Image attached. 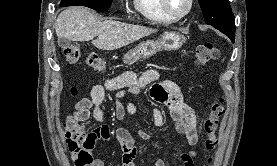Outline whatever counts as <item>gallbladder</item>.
<instances>
[{
    "label": "gallbladder",
    "instance_id": "gallbladder-1",
    "mask_svg": "<svg viewBox=\"0 0 277 166\" xmlns=\"http://www.w3.org/2000/svg\"><path fill=\"white\" fill-rule=\"evenodd\" d=\"M58 45L62 48H66L70 45V40H68L66 38H59Z\"/></svg>",
    "mask_w": 277,
    "mask_h": 166
}]
</instances>
